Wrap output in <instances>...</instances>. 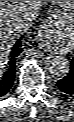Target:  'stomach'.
Masks as SVG:
<instances>
[{
	"label": "stomach",
	"instance_id": "0dacf381",
	"mask_svg": "<svg viewBox=\"0 0 74 122\" xmlns=\"http://www.w3.org/2000/svg\"><path fill=\"white\" fill-rule=\"evenodd\" d=\"M55 24H56V26H59L60 23L56 22ZM54 33H56L58 36H62V33H57V32H54Z\"/></svg>",
	"mask_w": 74,
	"mask_h": 122
}]
</instances>
